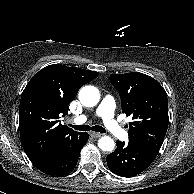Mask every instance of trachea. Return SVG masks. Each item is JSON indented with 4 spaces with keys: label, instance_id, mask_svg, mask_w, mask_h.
Masks as SVG:
<instances>
[{
    "label": "trachea",
    "instance_id": "1",
    "mask_svg": "<svg viewBox=\"0 0 194 194\" xmlns=\"http://www.w3.org/2000/svg\"><path fill=\"white\" fill-rule=\"evenodd\" d=\"M70 127L74 128L75 130H79V131H96V132H100V133H105L106 130L105 128H103L102 126L99 125H95L90 127L89 125H70Z\"/></svg>",
    "mask_w": 194,
    "mask_h": 194
}]
</instances>
